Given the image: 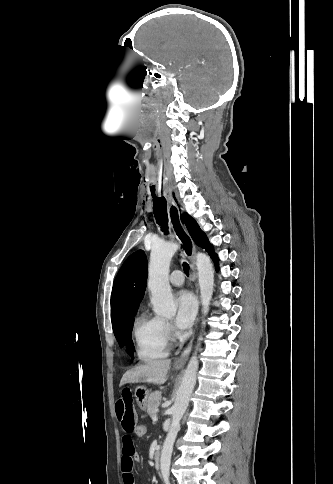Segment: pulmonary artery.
<instances>
[{
  "label": "pulmonary artery",
  "mask_w": 333,
  "mask_h": 484,
  "mask_svg": "<svg viewBox=\"0 0 333 484\" xmlns=\"http://www.w3.org/2000/svg\"><path fill=\"white\" fill-rule=\"evenodd\" d=\"M169 281L174 286H181L184 282L183 273L180 270H174L170 274Z\"/></svg>",
  "instance_id": "obj_1"
}]
</instances>
